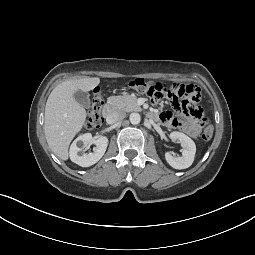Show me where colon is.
<instances>
[{
	"label": "colon",
	"mask_w": 255,
	"mask_h": 255,
	"mask_svg": "<svg viewBox=\"0 0 255 255\" xmlns=\"http://www.w3.org/2000/svg\"><path fill=\"white\" fill-rule=\"evenodd\" d=\"M129 86L134 90L147 94L154 101L167 97L178 112L187 117L194 118L204 125V131L201 136L203 140L211 139L213 127L204 110L198 105L200 99V90L198 87L179 83L167 86L160 83H151L141 77L131 80ZM103 105L104 99L100 90L97 88L94 91L87 113L86 126L88 128H97L103 123Z\"/></svg>",
	"instance_id": "1"
}]
</instances>
